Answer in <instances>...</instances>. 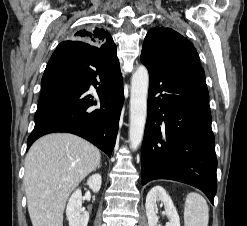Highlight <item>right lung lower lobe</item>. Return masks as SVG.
<instances>
[{
    "mask_svg": "<svg viewBox=\"0 0 247 226\" xmlns=\"http://www.w3.org/2000/svg\"><path fill=\"white\" fill-rule=\"evenodd\" d=\"M90 84L99 85L97 98L87 93ZM123 101L116 47L103 49L78 40L60 43L42 77L27 150L45 134L68 132L85 138L110 157Z\"/></svg>",
    "mask_w": 247,
    "mask_h": 226,
    "instance_id": "98d812e1",
    "label": "right lung lower lobe"
}]
</instances>
